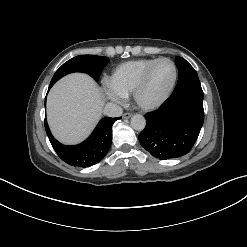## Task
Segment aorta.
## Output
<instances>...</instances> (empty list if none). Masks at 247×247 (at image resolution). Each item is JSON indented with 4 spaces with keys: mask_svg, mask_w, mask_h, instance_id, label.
Instances as JSON below:
<instances>
[{
    "mask_svg": "<svg viewBox=\"0 0 247 247\" xmlns=\"http://www.w3.org/2000/svg\"><path fill=\"white\" fill-rule=\"evenodd\" d=\"M145 125H146V120L142 115L136 114V115L132 116L131 126L133 129H135L137 131H141L145 128Z\"/></svg>",
    "mask_w": 247,
    "mask_h": 247,
    "instance_id": "1",
    "label": "aorta"
}]
</instances>
